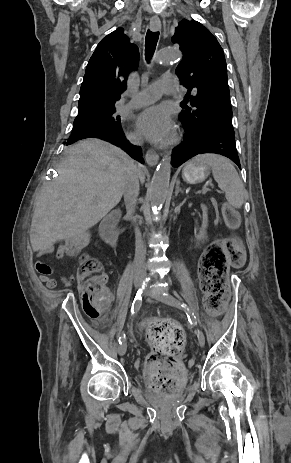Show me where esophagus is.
Listing matches in <instances>:
<instances>
[{
    "label": "esophagus",
    "mask_w": 291,
    "mask_h": 463,
    "mask_svg": "<svg viewBox=\"0 0 291 463\" xmlns=\"http://www.w3.org/2000/svg\"><path fill=\"white\" fill-rule=\"evenodd\" d=\"M150 28L153 30V31H157V30H160L161 29V21L158 17H152L151 20H150ZM146 162L149 164V165H156L159 161V155L153 151V150H148L147 153H146Z\"/></svg>",
    "instance_id": "esophagus-1"
}]
</instances>
